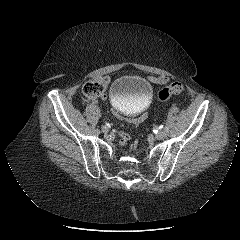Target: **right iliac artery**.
I'll use <instances>...</instances> for the list:
<instances>
[{
  "instance_id": "obj_1",
  "label": "right iliac artery",
  "mask_w": 240,
  "mask_h": 240,
  "mask_svg": "<svg viewBox=\"0 0 240 240\" xmlns=\"http://www.w3.org/2000/svg\"><path fill=\"white\" fill-rule=\"evenodd\" d=\"M94 132H95V134H97V135H98V134H100V132H101V131H100V129H99V128H96Z\"/></svg>"
}]
</instances>
